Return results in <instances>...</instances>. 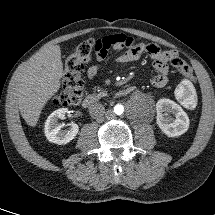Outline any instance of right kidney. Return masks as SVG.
I'll return each mask as SVG.
<instances>
[{
  "label": "right kidney",
  "mask_w": 215,
  "mask_h": 215,
  "mask_svg": "<svg viewBox=\"0 0 215 215\" xmlns=\"http://www.w3.org/2000/svg\"><path fill=\"white\" fill-rule=\"evenodd\" d=\"M68 113L67 108H60L51 113L45 122V136L47 139L55 144H67L75 138L79 131V127L75 123L69 124V128L62 130L64 124L59 122V119H63Z\"/></svg>",
  "instance_id": "ca27d5eb"
}]
</instances>
